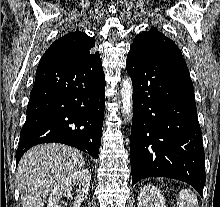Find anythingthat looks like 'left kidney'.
<instances>
[{
    "mask_svg": "<svg viewBox=\"0 0 220 207\" xmlns=\"http://www.w3.org/2000/svg\"><path fill=\"white\" fill-rule=\"evenodd\" d=\"M138 207H166L161 191L152 185L144 186L138 196Z\"/></svg>",
    "mask_w": 220,
    "mask_h": 207,
    "instance_id": "left-kidney-1",
    "label": "left kidney"
}]
</instances>
